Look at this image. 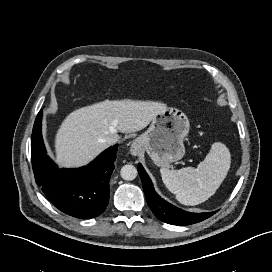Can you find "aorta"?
I'll return each instance as SVG.
<instances>
[{"instance_id": "762f6f07", "label": "aorta", "mask_w": 272, "mask_h": 272, "mask_svg": "<svg viewBox=\"0 0 272 272\" xmlns=\"http://www.w3.org/2000/svg\"><path fill=\"white\" fill-rule=\"evenodd\" d=\"M120 174L124 180L131 181L136 178L137 169L131 164H126L121 168Z\"/></svg>"}]
</instances>
